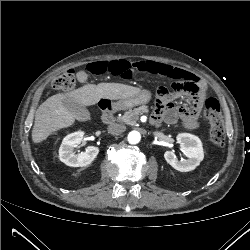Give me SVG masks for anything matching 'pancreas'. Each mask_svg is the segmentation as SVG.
<instances>
[{
    "instance_id": "1",
    "label": "pancreas",
    "mask_w": 250,
    "mask_h": 250,
    "mask_svg": "<svg viewBox=\"0 0 250 250\" xmlns=\"http://www.w3.org/2000/svg\"><path fill=\"white\" fill-rule=\"evenodd\" d=\"M148 107L143 105L138 108H134L133 110H129L125 112L122 117L117 118V121L120 123H125L127 125H135L136 121L139 118V115L143 113H148Z\"/></svg>"
}]
</instances>
